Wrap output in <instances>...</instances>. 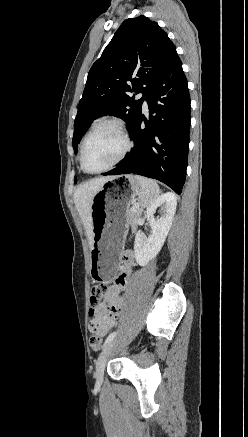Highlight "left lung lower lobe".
Returning <instances> with one entry per match:
<instances>
[{
  "label": "left lung lower lobe",
  "mask_w": 248,
  "mask_h": 437,
  "mask_svg": "<svg viewBox=\"0 0 248 437\" xmlns=\"http://www.w3.org/2000/svg\"><path fill=\"white\" fill-rule=\"evenodd\" d=\"M146 101L149 120L140 112L130 131L133 150L103 175L138 174L157 179L180 194L187 169L190 96L179 57L154 82Z\"/></svg>",
  "instance_id": "obj_1"
}]
</instances>
